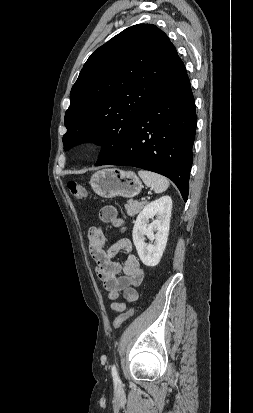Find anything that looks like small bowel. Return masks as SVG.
I'll use <instances>...</instances> for the list:
<instances>
[{
    "mask_svg": "<svg viewBox=\"0 0 253 413\" xmlns=\"http://www.w3.org/2000/svg\"><path fill=\"white\" fill-rule=\"evenodd\" d=\"M99 218L103 223L110 224L121 231L125 230L124 220L118 216L114 206L102 207ZM88 239L89 253L95 261L97 276L107 291L108 298L113 301L111 309L122 312L128 303L138 299L136 288L144 278L140 262L133 254V244L129 238L123 237L106 248L107 236L101 225L90 227ZM120 252L126 255L123 263L114 260ZM120 298H123L122 302L117 301Z\"/></svg>",
    "mask_w": 253,
    "mask_h": 413,
    "instance_id": "c3829d8e",
    "label": "small bowel"
}]
</instances>
